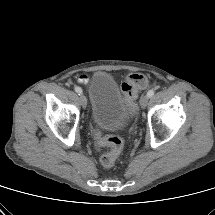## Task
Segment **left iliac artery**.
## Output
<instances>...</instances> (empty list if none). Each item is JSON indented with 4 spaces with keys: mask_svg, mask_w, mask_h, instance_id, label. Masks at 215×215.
Instances as JSON below:
<instances>
[{
    "mask_svg": "<svg viewBox=\"0 0 215 215\" xmlns=\"http://www.w3.org/2000/svg\"><path fill=\"white\" fill-rule=\"evenodd\" d=\"M154 95V90H149L148 92H147V96L150 98V97H152Z\"/></svg>",
    "mask_w": 215,
    "mask_h": 215,
    "instance_id": "obj_1",
    "label": "left iliac artery"
}]
</instances>
